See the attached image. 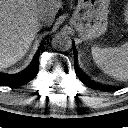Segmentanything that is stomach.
<instances>
[{
  "label": "stomach",
  "mask_w": 128,
  "mask_h": 128,
  "mask_svg": "<svg viewBox=\"0 0 128 128\" xmlns=\"http://www.w3.org/2000/svg\"><path fill=\"white\" fill-rule=\"evenodd\" d=\"M110 0H78L71 23L82 39H93L105 33Z\"/></svg>",
  "instance_id": "1"
}]
</instances>
